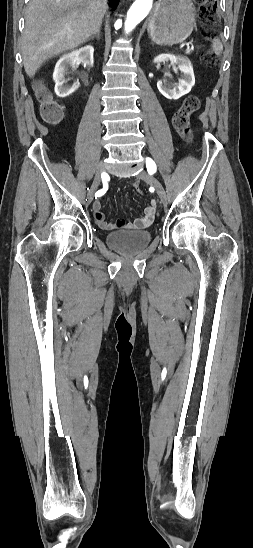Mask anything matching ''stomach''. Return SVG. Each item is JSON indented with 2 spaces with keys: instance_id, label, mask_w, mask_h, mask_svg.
I'll return each instance as SVG.
<instances>
[{
  "instance_id": "1",
  "label": "stomach",
  "mask_w": 253,
  "mask_h": 548,
  "mask_svg": "<svg viewBox=\"0 0 253 548\" xmlns=\"http://www.w3.org/2000/svg\"><path fill=\"white\" fill-rule=\"evenodd\" d=\"M195 13L191 0H159L148 23L151 39L159 45L183 42L193 31Z\"/></svg>"
}]
</instances>
